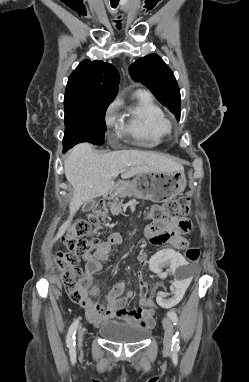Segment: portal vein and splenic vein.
<instances>
[{"instance_id": "18ae733b", "label": "portal vein and splenic vein", "mask_w": 249, "mask_h": 382, "mask_svg": "<svg viewBox=\"0 0 249 382\" xmlns=\"http://www.w3.org/2000/svg\"><path fill=\"white\" fill-rule=\"evenodd\" d=\"M119 173H120V171H116L114 174H115V175H118Z\"/></svg>"}]
</instances>
